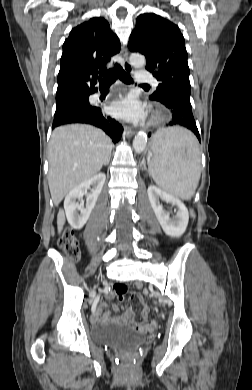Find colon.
I'll return each instance as SVG.
<instances>
[{"mask_svg": "<svg viewBox=\"0 0 252 390\" xmlns=\"http://www.w3.org/2000/svg\"><path fill=\"white\" fill-rule=\"evenodd\" d=\"M59 246L71 261L78 260L80 251L78 241L72 230L67 229L64 231L59 241ZM113 291L118 295H124L127 292V286L121 283H117L114 285ZM130 298L139 300L141 296L137 292H131Z\"/></svg>", "mask_w": 252, "mask_h": 390, "instance_id": "1", "label": "colon"}]
</instances>
